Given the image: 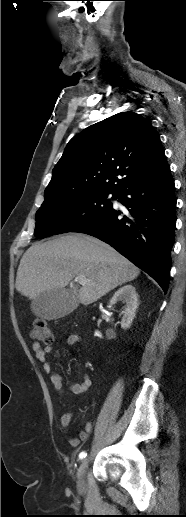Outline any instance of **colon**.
<instances>
[{
	"label": "colon",
	"mask_w": 186,
	"mask_h": 517,
	"mask_svg": "<svg viewBox=\"0 0 186 517\" xmlns=\"http://www.w3.org/2000/svg\"><path fill=\"white\" fill-rule=\"evenodd\" d=\"M32 336L35 340L49 344L55 340L50 326L43 320H36L33 324Z\"/></svg>",
	"instance_id": "obj_1"
}]
</instances>
